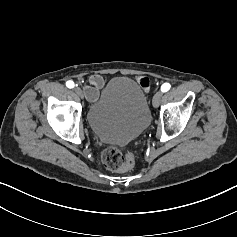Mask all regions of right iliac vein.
<instances>
[{"instance_id":"obj_1","label":"right iliac vein","mask_w":237,"mask_h":237,"mask_svg":"<svg viewBox=\"0 0 237 237\" xmlns=\"http://www.w3.org/2000/svg\"><path fill=\"white\" fill-rule=\"evenodd\" d=\"M75 93L80 96L81 98H83V93L82 90L79 87H75L74 88Z\"/></svg>"}]
</instances>
